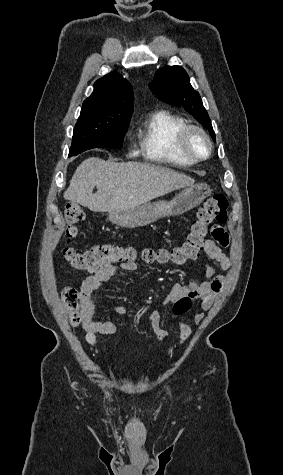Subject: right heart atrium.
<instances>
[{"label": "right heart atrium", "mask_w": 283, "mask_h": 475, "mask_svg": "<svg viewBox=\"0 0 283 475\" xmlns=\"http://www.w3.org/2000/svg\"><path fill=\"white\" fill-rule=\"evenodd\" d=\"M127 150L129 151V153L133 151V149L130 146L127 148Z\"/></svg>", "instance_id": "1"}]
</instances>
